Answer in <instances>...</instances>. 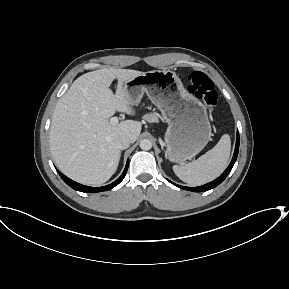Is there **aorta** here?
<instances>
[{
    "mask_svg": "<svg viewBox=\"0 0 289 289\" xmlns=\"http://www.w3.org/2000/svg\"><path fill=\"white\" fill-rule=\"evenodd\" d=\"M139 145L142 150H150L152 148V142L149 139H142Z\"/></svg>",
    "mask_w": 289,
    "mask_h": 289,
    "instance_id": "obj_1",
    "label": "aorta"
}]
</instances>
